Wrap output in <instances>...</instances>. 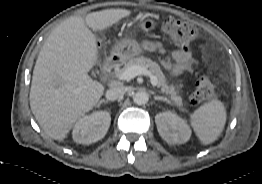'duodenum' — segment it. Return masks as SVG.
<instances>
[{
	"label": "duodenum",
	"mask_w": 262,
	"mask_h": 184,
	"mask_svg": "<svg viewBox=\"0 0 262 184\" xmlns=\"http://www.w3.org/2000/svg\"><path fill=\"white\" fill-rule=\"evenodd\" d=\"M122 62L121 56H113L109 61L103 65V74L108 76L115 68H117Z\"/></svg>",
	"instance_id": "410a0bca"
}]
</instances>
